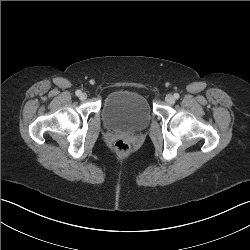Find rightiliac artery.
<instances>
[{
  "label": "right iliac artery",
  "instance_id": "1",
  "mask_svg": "<svg viewBox=\"0 0 250 250\" xmlns=\"http://www.w3.org/2000/svg\"><path fill=\"white\" fill-rule=\"evenodd\" d=\"M81 90H77L76 92H75V94L77 95V96H80L81 95Z\"/></svg>",
  "mask_w": 250,
  "mask_h": 250
}]
</instances>
